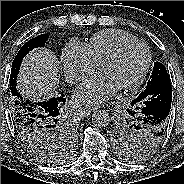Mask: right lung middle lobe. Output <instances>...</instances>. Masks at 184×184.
I'll return each mask as SVG.
<instances>
[{
  "mask_svg": "<svg viewBox=\"0 0 184 184\" xmlns=\"http://www.w3.org/2000/svg\"><path fill=\"white\" fill-rule=\"evenodd\" d=\"M49 35L41 34L26 42L19 50L12 63L10 75V90L13 95L16 89V80L23 58L34 48L45 46ZM13 115L15 109L12 106ZM40 136L34 138H20L30 154L42 163L56 164L63 161V155L67 149L74 147V130L69 126L63 112L57 111L48 116L44 127L40 130Z\"/></svg>",
  "mask_w": 184,
  "mask_h": 184,
  "instance_id": "1",
  "label": "right lung middle lobe"
}]
</instances>
